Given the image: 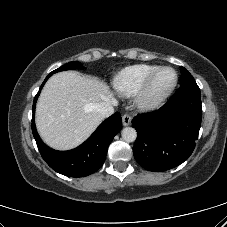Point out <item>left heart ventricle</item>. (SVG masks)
Returning <instances> with one entry per match:
<instances>
[{"instance_id":"1","label":"left heart ventricle","mask_w":227,"mask_h":227,"mask_svg":"<svg viewBox=\"0 0 227 227\" xmlns=\"http://www.w3.org/2000/svg\"><path fill=\"white\" fill-rule=\"evenodd\" d=\"M175 75L171 70H164L162 71L156 78L154 85H153V91L155 93H159L167 89L172 85L174 82Z\"/></svg>"}]
</instances>
